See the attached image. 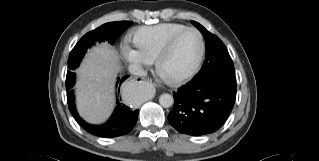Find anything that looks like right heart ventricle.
I'll return each instance as SVG.
<instances>
[{
    "instance_id": "right-heart-ventricle-1",
    "label": "right heart ventricle",
    "mask_w": 319,
    "mask_h": 161,
    "mask_svg": "<svg viewBox=\"0 0 319 161\" xmlns=\"http://www.w3.org/2000/svg\"><path fill=\"white\" fill-rule=\"evenodd\" d=\"M185 28L187 26L180 23H161L140 27L134 32L132 42L145 59L152 61L156 59L167 40Z\"/></svg>"
}]
</instances>
